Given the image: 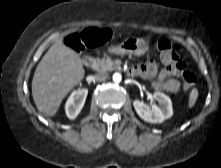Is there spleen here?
<instances>
[{
  "label": "spleen",
  "instance_id": "spleen-1",
  "mask_svg": "<svg viewBox=\"0 0 221 168\" xmlns=\"http://www.w3.org/2000/svg\"><path fill=\"white\" fill-rule=\"evenodd\" d=\"M197 96H198V91H197V89H193L192 92H191V95H190V100H191V101H190V106H193V104H194V102H195Z\"/></svg>",
  "mask_w": 221,
  "mask_h": 168
}]
</instances>
